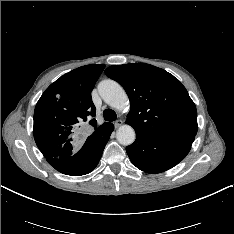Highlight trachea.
<instances>
[{"mask_svg": "<svg viewBox=\"0 0 234 234\" xmlns=\"http://www.w3.org/2000/svg\"><path fill=\"white\" fill-rule=\"evenodd\" d=\"M103 117L106 121H115L117 118V115L115 113V111H113L112 109H105L103 111Z\"/></svg>", "mask_w": 234, "mask_h": 234, "instance_id": "3493384b", "label": "trachea"}]
</instances>
